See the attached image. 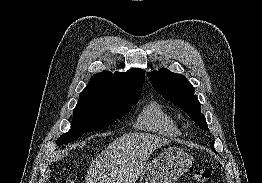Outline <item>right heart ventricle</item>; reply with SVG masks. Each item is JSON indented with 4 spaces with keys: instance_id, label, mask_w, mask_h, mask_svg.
Returning a JSON list of instances; mask_svg holds the SVG:
<instances>
[{
    "instance_id": "right-heart-ventricle-1",
    "label": "right heart ventricle",
    "mask_w": 262,
    "mask_h": 183,
    "mask_svg": "<svg viewBox=\"0 0 262 183\" xmlns=\"http://www.w3.org/2000/svg\"><path fill=\"white\" fill-rule=\"evenodd\" d=\"M136 128L166 137L181 135V128L175 118L159 103H148L138 115Z\"/></svg>"
}]
</instances>
